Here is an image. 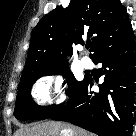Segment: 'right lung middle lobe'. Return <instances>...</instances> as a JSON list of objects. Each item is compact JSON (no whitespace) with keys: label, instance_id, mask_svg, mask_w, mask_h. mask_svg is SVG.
Masks as SVG:
<instances>
[{"label":"right lung middle lobe","instance_id":"right-lung-middle-lobe-1","mask_svg":"<svg viewBox=\"0 0 136 136\" xmlns=\"http://www.w3.org/2000/svg\"><path fill=\"white\" fill-rule=\"evenodd\" d=\"M54 74H61L66 77V82L69 83V87L71 89V96L76 92L82 83V81H77L75 79L67 64L33 73L22 78L18 87L14 110V116L18 120L47 119L63 107V103L60 105L41 107L36 105L31 97V87L34 82L42 76Z\"/></svg>","mask_w":136,"mask_h":136}]
</instances>
